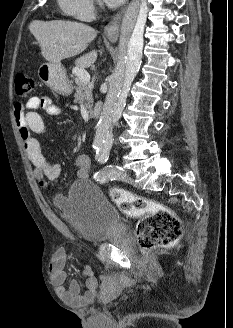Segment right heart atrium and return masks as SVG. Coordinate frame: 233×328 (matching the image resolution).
<instances>
[{
  "label": "right heart atrium",
  "instance_id": "d8ad5b80",
  "mask_svg": "<svg viewBox=\"0 0 233 328\" xmlns=\"http://www.w3.org/2000/svg\"><path fill=\"white\" fill-rule=\"evenodd\" d=\"M64 10L82 21L91 20L97 9V0H62Z\"/></svg>",
  "mask_w": 233,
  "mask_h": 328
}]
</instances>
